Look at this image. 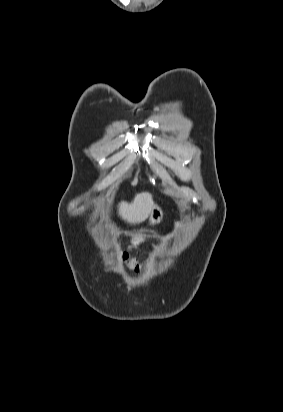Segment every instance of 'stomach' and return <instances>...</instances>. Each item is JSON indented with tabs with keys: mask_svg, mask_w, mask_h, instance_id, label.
Segmentation results:
<instances>
[{
	"mask_svg": "<svg viewBox=\"0 0 283 412\" xmlns=\"http://www.w3.org/2000/svg\"><path fill=\"white\" fill-rule=\"evenodd\" d=\"M163 219V210L161 209V207L157 204L154 205L150 217H149V221L151 225H155L161 222V220ZM146 240V235L143 234H137V235H133L131 238V245L132 246H137L140 243L144 242Z\"/></svg>",
	"mask_w": 283,
	"mask_h": 412,
	"instance_id": "stomach-1",
	"label": "stomach"
}]
</instances>
